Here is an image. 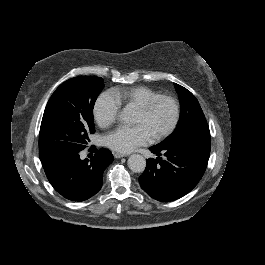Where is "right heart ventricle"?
I'll return each instance as SVG.
<instances>
[{"label":"right heart ventricle","instance_id":"obj_1","mask_svg":"<svg viewBox=\"0 0 265 265\" xmlns=\"http://www.w3.org/2000/svg\"><path fill=\"white\" fill-rule=\"evenodd\" d=\"M112 97L119 106L125 109L138 110L148 99L159 95V92L148 86L120 87L111 90Z\"/></svg>","mask_w":265,"mask_h":265}]
</instances>
